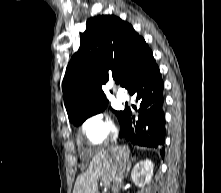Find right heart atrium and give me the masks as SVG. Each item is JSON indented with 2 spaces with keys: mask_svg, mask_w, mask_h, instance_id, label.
Listing matches in <instances>:
<instances>
[{
  "mask_svg": "<svg viewBox=\"0 0 221 193\" xmlns=\"http://www.w3.org/2000/svg\"><path fill=\"white\" fill-rule=\"evenodd\" d=\"M116 125L108 112H97L89 116L82 126L85 139L91 145H100L116 134Z\"/></svg>",
  "mask_w": 221,
  "mask_h": 193,
  "instance_id": "right-heart-atrium-1",
  "label": "right heart atrium"
}]
</instances>
